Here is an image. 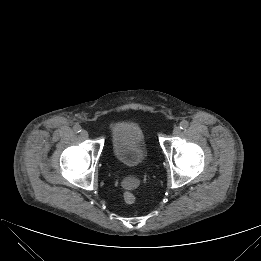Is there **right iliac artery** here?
<instances>
[{
  "instance_id": "obj_1",
  "label": "right iliac artery",
  "mask_w": 261,
  "mask_h": 261,
  "mask_svg": "<svg viewBox=\"0 0 261 261\" xmlns=\"http://www.w3.org/2000/svg\"><path fill=\"white\" fill-rule=\"evenodd\" d=\"M73 129H74V131L76 132V133H79V132H81V126L80 125H75L74 127H73Z\"/></svg>"
}]
</instances>
